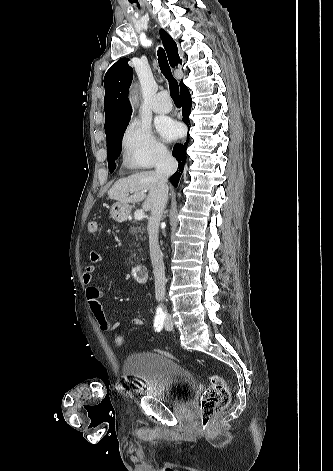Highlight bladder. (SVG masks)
Returning <instances> with one entry per match:
<instances>
[{
    "mask_svg": "<svg viewBox=\"0 0 333 471\" xmlns=\"http://www.w3.org/2000/svg\"><path fill=\"white\" fill-rule=\"evenodd\" d=\"M122 370L124 375L141 380L143 392L164 404H181L196 390L194 376L159 353H132L125 359Z\"/></svg>",
    "mask_w": 333,
    "mask_h": 471,
    "instance_id": "1",
    "label": "bladder"
}]
</instances>
